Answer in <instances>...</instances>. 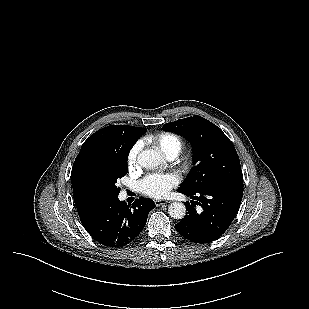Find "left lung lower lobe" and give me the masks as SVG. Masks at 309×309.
Returning a JSON list of instances; mask_svg holds the SVG:
<instances>
[{
  "label": "left lung lower lobe",
  "instance_id": "0a47b994",
  "mask_svg": "<svg viewBox=\"0 0 309 309\" xmlns=\"http://www.w3.org/2000/svg\"><path fill=\"white\" fill-rule=\"evenodd\" d=\"M191 199L186 216L175 229L187 240L197 244L210 243L221 237L229 228L241 204L243 184L228 183L200 190L195 193L181 192ZM195 204L203 208L197 213Z\"/></svg>",
  "mask_w": 309,
  "mask_h": 309
}]
</instances>
